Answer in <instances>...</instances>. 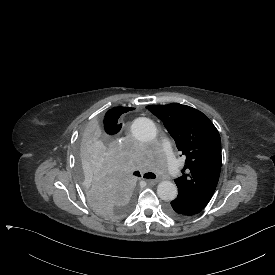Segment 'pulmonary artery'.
<instances>
[{"instance_id":"pulmonary-artery-1","label":"pulmonary artery","mask_w":275,"mask_h":275,"mask_svg":"<svg viewBox=\"0 0 275 275\" xmlns=\"http://www.w3.org/2000/svg\"><path fill=\"white\" fill-rule=\"evenodd\" d=\"M163 146H164L165 154L167 157V165L170 168V173L174 177H179L180 176L179 166H178V163L176 162V157L174 156V152L172 150L170 141L164 140Z\"/></svg>"}]
</instances>
